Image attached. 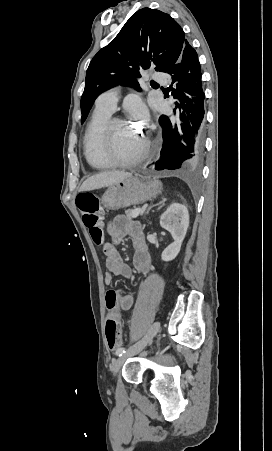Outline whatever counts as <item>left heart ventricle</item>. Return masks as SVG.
Returning a JSON list of instances; mask_svg holds the SVG:
<instances>
[{
  "mask_svg": "<svg viewBox=\"0 0 272 451\" xmlns=\"http://www.w3.org/2000/svg\"><path fill=\"white\" fill-rule=\"evenodd\" d=\"M139 139V135L134 126L130 125L128 122H117L114 124V146L116 152L121 157L128 155Z\"/></svg>",
  "mask_w": 272,
  "mask_h": 451,
  "instance_id": "b2bd125f",
  "label": "left heart ventricle"
}]
</instances>
